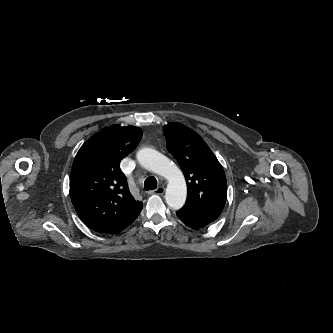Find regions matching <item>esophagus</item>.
<instances>
[{
	"label": "esophagus",
	"instance_id": "esophagus-1",
	"mask_svg": "<svg viewBox=\"0 0 333 333\" xmlns=\"http://www.w3.org/2000/svg\"><path fill=\"white\" fill-rule=\"evenodd\" d=\"M165 192V188L160 186L157 189L150 191L149 194L163 195Z\"/></svg>",
	"mask_w": 333,
	"mask_h": 333
}]
</instances>
